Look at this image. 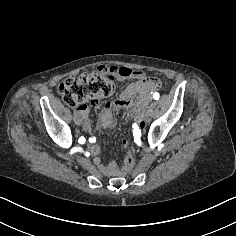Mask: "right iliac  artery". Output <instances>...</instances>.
Here are the masks:
<instances>
[{
	"mask_svg": "<svg viewBox=\"0 0 236 236\" xmlns=\"http://www.w3.org/2000/svg\"><path fill=\"white\" fill-rule=\"evenodd\" d=\"M85 138L82 136V137H80L79 138V140H78V142L80 143V144H84L85 143Z\"/></svg>",
	"mask_w": 236,
	"mask_h": 236,
	"instance_id": "82829eb1",
	"label": "right iliac artery"
}]
</instances>
